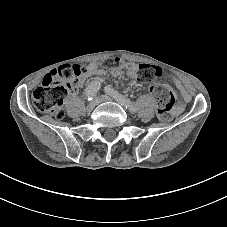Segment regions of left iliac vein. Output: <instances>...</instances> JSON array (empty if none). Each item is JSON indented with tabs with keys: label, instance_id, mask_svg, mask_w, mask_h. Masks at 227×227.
<instances>
[{
	"label": "left iliac vein",
	"instance_id": "left-iliac-vein-1",
	"mask_svg": "<svg viewBox=\"0 0 227 227\" xmlns=\"http://www.w3.org/2000/svg\"><path fill=\"white\" fill-rule=\"evenodd\" d=\"M99 100H100V102L113 101V99L107 95H102ZM116 102L119 103L120 105L124 106V103L122 101L116 100Z\"/></svg>",
	"mask_w": 227,
	"mask_h": 227
}]
</instances>
